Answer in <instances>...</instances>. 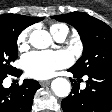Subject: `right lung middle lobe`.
<instances>
[{"label":"right lung middle lobe","instance_id":"dd1d6c3e","mask_svg":"<svg viewBox=\"0 0 112 112\" xmlns=\"http://www.w3.org/2000/svg\"><path fill=\"white\" fill-rule=\"evenodd\" d=\"M27 27L18 17H12L0 27V77L10 75L16 68L10 65L17 58V38Z\"/></svg>","mask_w":112,"mask_h":112}]
</instances>
